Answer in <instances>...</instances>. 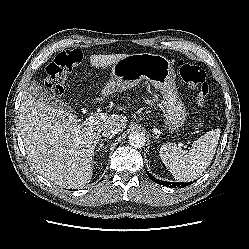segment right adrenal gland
Returning <instances> with one entry per match:
<instances>
[{
  "label": "right adrenal gland",
  "mask_w": 249,
  "mask_h": 249,
  "mask_svg": "<svg viewBox=\"0 0 249 249\" xmlns=\"http://www.w3.org/2000/svg\"><path fill=\"white\" fill-rule=\"evenodd\" d=\"M109 139H111V137H106L104 139L101 140V143L99 144V147L96 149V151H100V149L103 147L104 142L108 141Z\"/></svg>",
  "instance_id": "obj_1"
}]
</instances>
